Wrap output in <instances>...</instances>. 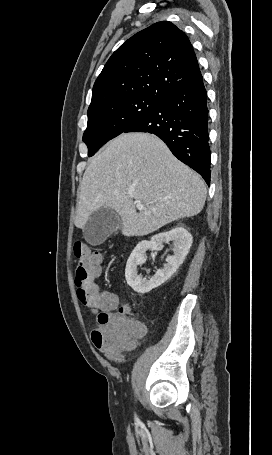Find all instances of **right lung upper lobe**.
<instances>
[{
	"label": "right lung upper lobe",
	"instance_id": "right-lung-upper-lobe-1",
	"mask_svg": "<svg viewBox=\"0 0 272 455\" xmlns=\"http://www.w3.org/2000/svg\"><path fill=\"white\" fill-rule=\"evenodd\" d=\"M201 76L187 35L171 22H157L112 54L95 81L89 109L132 96L164 98Z\"/></svg>",
	"mask_w": 272,
	"mask_h": 455
}]
</instances>
